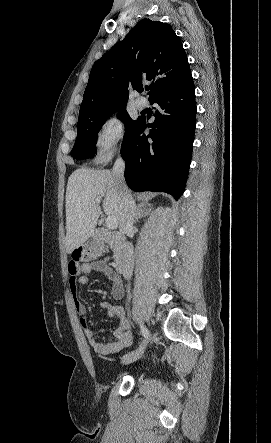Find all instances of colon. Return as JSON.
Here are the masks:
<instances>
[{
  "label": "colon",
  "instance_id": "colon-1",
  "mask_svg": "<svg viewBox=\"0 0 271 443\" xmlns=\"http://www.w3.org/2000/svg\"><path fill=\"white\" fill-rule=\"evenodd\" d=\"M106 252L105 246L99 241H87L76 248L71 257L74 264L88 263L102 257Z\"/></svg>",
  "mask_w": 271,
  "mask_h": 443
}]
</instances>
